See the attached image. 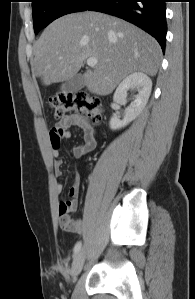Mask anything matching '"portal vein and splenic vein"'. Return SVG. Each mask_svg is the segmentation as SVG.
Instances as JSON below:
<instances>
[{"label": "portal vein and splenic vein", "mask_w": 195, "mask_h": 299, "mask_svg": "<svg viewBox=\"0 0 195 299\" xmlns=\"http://www.w3.org/2000/svg\"><path fill=\"white\" fill-rule=\"evenodd\" d=\"M97 59L95 57H90L87 59V65L90 67H95L97 65Z\"/></svg>", "instance_id": "18ae733b"}]
</instances>
